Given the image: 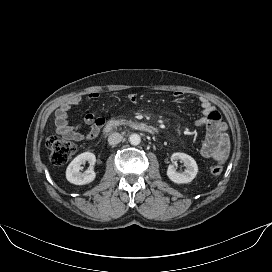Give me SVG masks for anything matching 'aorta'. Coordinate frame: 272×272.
Listing matches in <instances>:
<instances>
[{"label":"aorta","instance_id":"obj_1","mask_svg":"<svg viewBox=\"0 0 272 272\" xmlns=\"http://www.w3.org/2000/svg\"><path fill=\"white\" fill-rule=\"evenodd\" d=\"M129 142L132 145H139L141 143V137H140V135H138L136 133L131 134L130 137H129Z\"/></svg>","mask_w":272,"mask_h":272}]
</instances>
